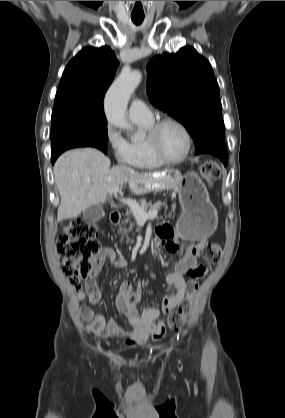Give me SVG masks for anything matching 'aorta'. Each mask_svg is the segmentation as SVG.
Masks as SVG:
<instances>
[{
    "mask_svg": "<svg viewBox=\"0 0 285 418\" xmlns=\"http://www.w3.org/2000/svg\"><path fill=\"white\" fill-rule=\"evenodd\" d=\"M141 80L140 71L125 68L110 86L104 101L105 113L110 125L123 130L132 129L126 118L127 103Z\"/></svg>",
    "mask_w": 285,
    "mask_h": 418,
    "instance_id": "aorta-1",
    "label": "aorta"
}]
</instances>
